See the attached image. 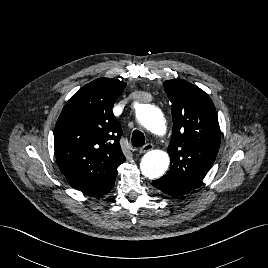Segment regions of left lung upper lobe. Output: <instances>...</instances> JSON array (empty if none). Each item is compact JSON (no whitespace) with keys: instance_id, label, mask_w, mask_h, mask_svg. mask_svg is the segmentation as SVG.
Returning a JSON list of instances; mask_svg holds the SVG:
<instances>
[{"instance_id":"left-lung-upper-lobe-1","label":"left lung upper lobe","mask_w":268,"mask_h":268,"mask_svg":"<svg viewBox=\"0 0 268 268\" xmlns=\"http://www.w3.org/2000/svg\"><path fill=\"white\" fill-rule=\"evenodd\" d=\"M172 106L170 169L152 185L180 196L195 189L211 168L220 146V127L212 100L199 87L181 79L164 82Z\"/></svg>"}]
</instances>
